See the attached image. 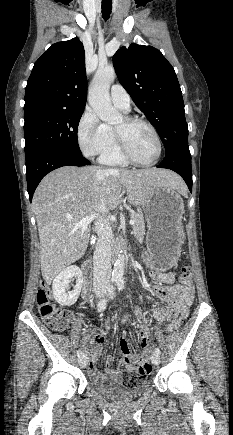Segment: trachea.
<instances>
[{"instance_id":"1","label":"trachea","mask_w":233,"mask_h":435,"mask_svg":"<svg viewBox=\"0 0 233 435\" xmlns=\"http://www.w3.org/2000/svg\"><path fill=\"white\" fill-rule=\"evenodd\" d=\"M102 17L106 21L109 19L112 11V0H102Z\"/></svg>"}]
</instances>
